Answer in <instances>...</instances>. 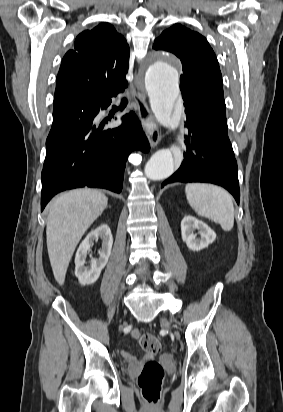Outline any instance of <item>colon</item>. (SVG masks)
I'll return each instance as SVG.
<instances>
[{"instance_id":"obj_1","label":"colon","mask_w":283,"mask_h":412,"mask_svg":"<svg viewBox=\"0 0 283 412\" xmlns=\"http://www.w3.org/2000/svg\"><path fill=\"white\" fill-rule=\"evenodd\" d=\"M139 343L146 352L157 355L163 351V345L159 339L152 334L143 333L139 335ZM164 371L156 361H148L139 377L138 386L143 398L150 404H157L160 399Z\"/></svg>"}]
</instances>
